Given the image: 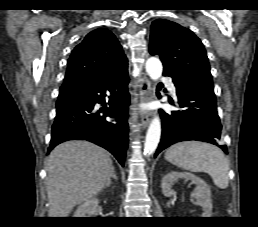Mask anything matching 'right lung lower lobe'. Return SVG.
I'll return each mask as SVG.
<instances>
[{
    "instance_id": "obj_1",
    "label": "right lung lower lobe",
    "mask_w": 258,
    "mask_h": 227,
    "mask_svg": "<svg viewBox=\"0 0 258 227\" xmlns=\"http://www.w3.org/2000/svg\"><path fill=\"white\" fill-rule=\"evenodd\" d=\"M128 82L126 68L105 78L90 77L64 83L56 103L48 152L67 140H87L110 151L124 166L128 146ZM106 92L111 93L109 107ZM96 103L103 105V109L96 112ZM106 116L117 117V123L106 121Z\"/></svg>"
}]
</instances>
